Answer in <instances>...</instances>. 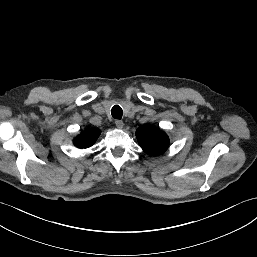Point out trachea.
I'll list each match as a JSON object with an SVG mask.
<instances>
[{
    "mask_svg": "<svg viewBox=\"0 0 257 257\" xmlns=\"http://www.w3.org/2000/svg\"><path fill=\"white\" fill-rule=\"evenodd\" d=\"M111 114H112L113 118L121 119L122 115H123L122 108L118 105L113 106L112 109H111Z\"/></svg>",
    "mask_w": 257,
    "mask_h": 257,
    "instance_id": "trachea-1",
    "label": "trachea"
}]
</instances>
